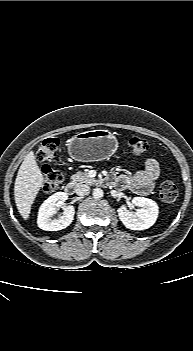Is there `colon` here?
I'll return each instance as SVG.
<instances>
[{
  "label": "colon",
  "instance_id": "obj_1",
  "mask_svg": "<svg viewBox=\"0 0 193 351\" xmlns=\"http://www.w3.org/2000/svg\"><path fill=\"white\" fill-rule=\"evenodd\" d=\"M130 152L139 156L148 149L147 142L140 137H131L128 141ZM60 142L57 138H47L42 141L37 151V159L40 162L53 161L59 152ZM42 190L45 193L56 191L63 182V175L59 170L47 168L43 172ZM159 196L164 202H173L178 196V189L171 180L163 181L159 186Z\"/></svg>",
  "mask_w": 193,
  "mask_h": 351
}]
</instances>
